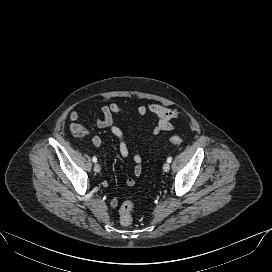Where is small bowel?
I'll return each instance as SVG.
<instances>
[{"label":"small bowel","instance_id":"small-bowel-1","mask_svg":"<svg viewBox=\"0 0 272 272\" xmlns=\"http://www.w3.org/2000/svg\"><path fill=\"white\" fill-rule=\"evenodd\" d=\"M102 117L93 116L95 125L100 129H107L111 134L118 140V150L122 158H127L129 156V148L125 141L124 132L121 128L116 126L113 121V114L125 113L126 109L118 103H110L102 105L100 107ZM87 114H91V111H87ZM137 113L141 116H145L151 113L156 118L155 126L153 127L147 141H151L154 137L159 135L163 131H169L174 128L172 120L177 118L179 112L176 109L168 108L160 103L153 102L148 105H140L137 107ZM69 118L71 121H77L80 118V114L76 111L70 113ZM92 144L95 147H101L103 145V140L99 136H94L92 138ZM134 170L133 174L135 177H139L142 174V156L140 153L136 152L133 155ZM135 179L129 177L126 179V185L129 187L134 186ZM106 186V183H104ZM111 207L115 208L118 205V199L112 198L110 201Z\"/></svg>","mask_w":272,"mask_h":272}]
</instances>
